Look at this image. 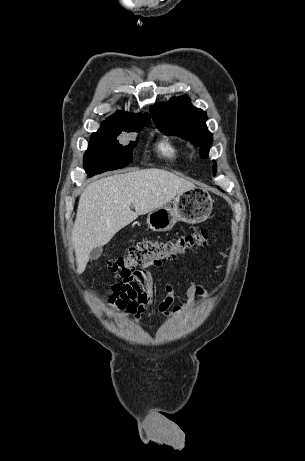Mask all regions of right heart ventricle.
<instances>
[{"instance_id":"e07e8e85","label":"right heart ventricle","mask_w":305,"mask_h":461,"mask_svg":"<svg viewBox=\"0 0 305 461\" xmlns=\"http://www.w3.org/2000/svg\"><path fill=\"white\" fill-rule=\"evenodd\" d=\"M158 151L167 158H176L179 156L181 149L176 144L164 140L157 146Z\"/></svg>"}]
</instances>
